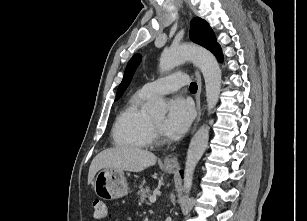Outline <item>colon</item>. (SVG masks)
Masks as SVG:
<instances>
[{"label": "colon", "instance_id": "colon-1", "mask_svg": "<svg viewBox=\"0 0 307 221\" xmlns=\"http://www.w3.org/2000/svg\"><path fill=\"white\" fill-rule=\"evenodd\" d=\"M93 208H94L93 215L96 219H100V220L105 219V218H108L110 215L109 208L106 202L103 200L96 199L93 202Z\"/></svg>", "mask_w": 307, "mask_h": 221}]
</instances>
